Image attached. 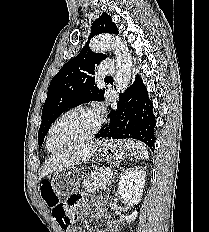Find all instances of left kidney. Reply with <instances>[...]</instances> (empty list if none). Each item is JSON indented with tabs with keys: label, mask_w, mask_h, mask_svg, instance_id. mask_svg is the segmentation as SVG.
I'll use <instances>...</instances> for the list:
<instances>
[{
	"label": "left kidney",
	"mask_w": 209,
	"mask_h": 232,
	"mask_svg": "<svg viewBox=\"0 0 209 232\" xmlns=\"http://www.w3.org/2000/svg\"><path fill=\"white\" fill-rule=\"evenodd\" d=\"M145 173L142 170L130 168L121 174L118 183V193L125 203L138 205L144 189ZM137 217V211L125 217L124 221L131 222Z\"/></svg>",
	"instance_id": "left-kidney-1"
}]
</instances>
